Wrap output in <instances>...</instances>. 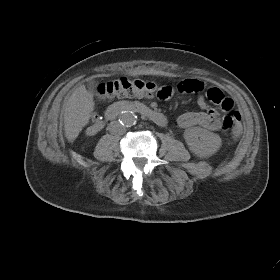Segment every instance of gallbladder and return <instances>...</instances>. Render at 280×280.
Wrapping results in <instances>:
<instances>
[{
  "label": "gallbladder",
  "instance_id": "1",
  "mask_svg": "<svg viewBox=\"0 0 280 280\" xmlns=\"http://www.w3.org/2000/svg\"><path fill=\"white\" fill-rule=\"evenodd\" d=\"M98 82L95 80H92L88 83V87L95 92L96 88L98 87Z\"/></svg>",
  "mask_w": 280,
  "mask_h": 280
}]
</instances>
